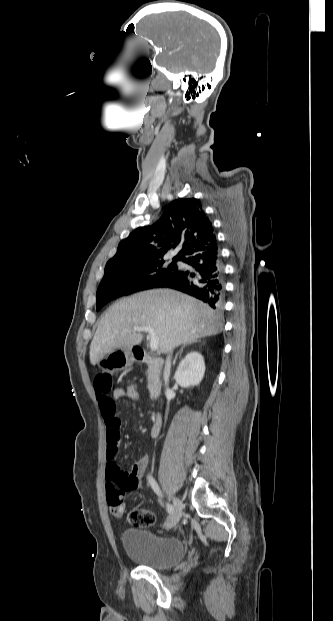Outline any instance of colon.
<instances>
[{"instance_id":"colon-1","label":"colon","mask_w":333,"mask_h":621,"mask_svg":"<svg viewBox=\"0 0 333 621\" xmlns=\"http://www.w3.org/2000/svg\"><path fill=\"white\" fill-rule=\"evenodd\" d=\"M123 398L133 403L140 399V390L136 383L131 382L123 389ZM107 474L118 488L124 490H130L132 488L133 480L130 475L127 472L121 471V469L114 462L108 465ZM110 510L116 517H120L124 513V509L119 507H115ZM127 519L131 525L136 527H148L155 523L154 513L140 508L131 510L128 513Z\"/></svg>"}]
</instances>
